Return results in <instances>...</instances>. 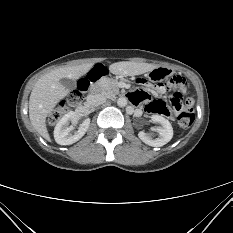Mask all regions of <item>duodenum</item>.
I'll return each instance as SVG.
<instances>
[{
	"instance_id": "410a0bca",
	"label": "duodenum",
	"mask_w": 233,
	"mask_h": 233,
	"mask_svg": "<svg viewBox=\"0 0 233 233\" xmlns=\"http://www.w3.org/2000/svg\"><path fill=\"white\" fill-rule=\"evenodd\" d=\"M110 70V67L108 64L104 62H99L96 67L92 68L89 72L86 73L85 77L83 78L84 84H89L94 82L99 78L100 75L107 76L108 72ZM88 92H98L101 93L100 87H95L94 85H89L87 88Z\"/></svg>"
}]
</instances>
